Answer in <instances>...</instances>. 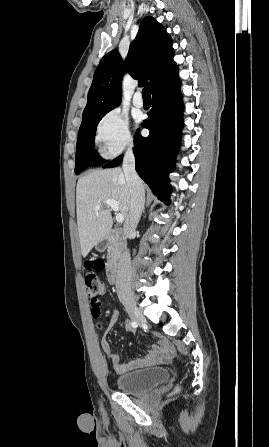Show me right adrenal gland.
<instances>
[{"label":"right adrenal gland","instance_id":"right-adrenal-gland-1","mask_svg":"<svg viewBox=\"0 0 269 447\" xmlns=\"http://www.w3.org/2000/svg\"><path fill=\"white\" fill-rule=\"evenodd\" d=\"M143 214H145V208H143Z\"/></svg>","mask_w":269,"mask_h":447}]
</instances>
